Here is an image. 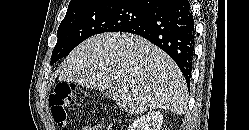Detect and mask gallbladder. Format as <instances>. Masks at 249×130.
<instances>
[{
	"mask_svg": "<svg viewBox=\"0 0 249 130\" xmlns=\"http://www.w3.org/2000/svg\"><path fill=\"white\" fill-rule=\"evenodd\" d=\"M105 95H106L107 97H111V96H112V93H111L110 91H106V92H105Z\"/></svg>",
	"mask_w": 249,
	"mask_h": 130,
	"instance_id": "gallbladder-1",
	"label": "gallbladder"
}]
</instances>
